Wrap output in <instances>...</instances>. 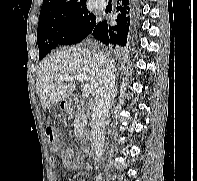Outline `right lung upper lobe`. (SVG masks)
Returning a JSON list of instances; mask_svg holds the SVG:
<instances>
[{"label": "right lung upper lobe", "instance_id": "right-lung-upper-lobe-1", "mask_svg": "<svg viewBox=\"0 0 197 181\" xmlns=\"http://www.w3.org/2000/svg\"><path fill=\"white\" fill-rule=\"evenodd\" d=\"M86 0H44L39 19L84 8Z\"/></svg>", "mask_w": 197, "mask_h": 181}]
</instances>
